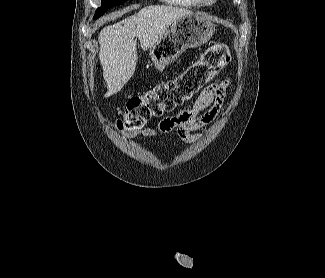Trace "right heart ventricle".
<instances>
[{
  "label": "right heart ventricle",
  "instance_id": "e07e8e85",
  "mask_svg": "<svg viewBox=\"0 0 325 278\" xmlns=\"http://www.w3.org/2000/svg\"><path fill=\"white\" fill-rule=\"evenodd\" d=\"M164 2L186 7V8H200L208 4L205 0H163Z\"/></svg>",
  "mask_w": 325,
  "mask_h": 278
}]
</instances>
